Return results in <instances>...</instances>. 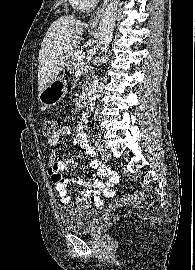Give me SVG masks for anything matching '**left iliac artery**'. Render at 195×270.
Instances as JSON below:
<instances>
[{
	"label": "left iliac artery",
	"instance_id": "obj_1",
	"mask_svg": "<svg viewBox=\"0 0 195 270\" xmlns=\"http://www.w3.org/2000/svg\"><path fill=\"white\" fill-rule=\"evenodd\" d=\"M96 145H97L98 150H100V146L98 145V140H96Z\"/></svg>",
	"mask_w": 195,
	"mask_h": 270
}]
</instances>
